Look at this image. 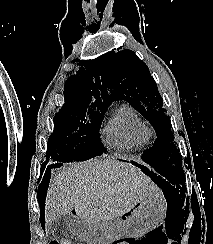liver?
Returning <instances> with one entry per match:
<instances>
[{
  "label": "liver",
  "instance_id": "liver-1",
  "mask_svg": "<svg viewBox=\"0 0 213 244\" xmlns=\"http://www.w3.org/2000/svg\"><path fill=\"white\" fill-rule=\"evenodd\" d=\"M159 195L157 186L138 167L117 160H90L63 166L51 178L45 198V219L70 215L99 231L111 229L116 216L137 202Z\"/></svg>",
  "mask_w": 213,
  "mask_h": 244
}]
</instances>
